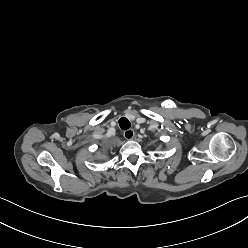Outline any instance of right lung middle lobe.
<instances>
[{
	"mask_svg": "<svg viewBox=\"0 0 248 248\" xmlns=\"http://www.w3.org/2000/svg\"><path fill=\"white\" fill-rule=\"evenodd\" d=\"M104 158V156H101V158L100 159H103Z\"/></svg>",
	"mask_w": 248,
	"mask_h": 248,
	"instance_id": "right-lung-middle-lobe-1",
	"label": "right lung middle lobe"
}]
</instances>
